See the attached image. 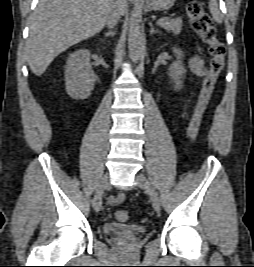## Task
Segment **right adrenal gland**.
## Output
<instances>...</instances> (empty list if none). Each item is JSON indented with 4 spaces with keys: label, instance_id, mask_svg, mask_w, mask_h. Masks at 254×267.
<instances>
[{
    "label": "right adrenal gland",
    "instance_id": "obj_1",
    "mask_svg": "<svg viewBox=\"0 0 254 267\" xmlns=\"http://www.w3.org/2000/svg\"><path fill=\"white\" fill-rule=\"evenodd\" d=\"M106 37H110V36H114L115 35V31H108L105 33Z\"/></svg>",
    "mask_w": 254,
    "mask_h": 267
}]
</instances>
